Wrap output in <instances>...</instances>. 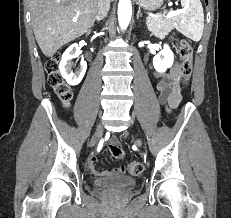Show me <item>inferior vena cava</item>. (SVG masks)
Here are the masks:
<instances>
[{
	"label": "inferior vena cava",
	"instance_id": "inferior-vena-cava-1",
	"mask_svg": "<svg viewBox=\"0 0 231 218\" xmlns=\"http://www.w3.org/2000/svg\"><path fill=\"white\" fill-rule=\"evenodd\" d=\"M110 9V0H98V18H104L107 16V13Z\"/></svg>",
	"mask_w": 231,
	"mask_h": 218
}]
</instances>
